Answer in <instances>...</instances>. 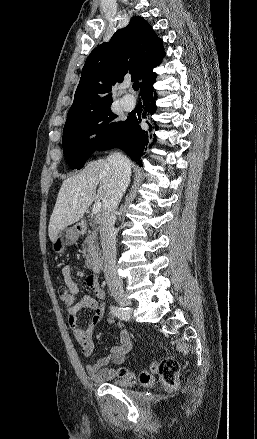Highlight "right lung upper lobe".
Here are the masks:
<instances>
[{
	"label": "right lung upper lobe",
	"mask_w": 257,
	"mask_h": 439,
	"mask_svg": "<svg viewBox=\"0 0 257 439\" xmlns=\"http://www.w3.org/2000/svg\"><path fill=\"white\" fill-rule=\"evenodd\" d=\"M162 43L147 21L136 16L108 43L97 46L84 64L66 122L111 106L112 88L126 75L142 80L143 93L165 56Z\"/></svg>",
	"instance_id": "right-lung-upper-lobe-1"
}]
</instances>
